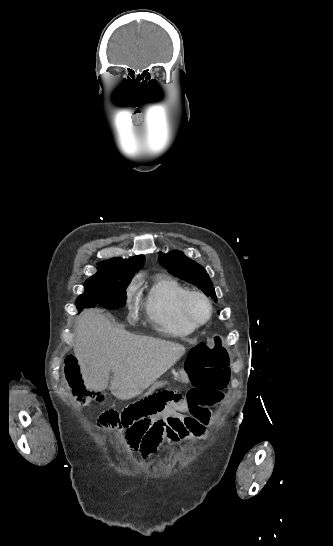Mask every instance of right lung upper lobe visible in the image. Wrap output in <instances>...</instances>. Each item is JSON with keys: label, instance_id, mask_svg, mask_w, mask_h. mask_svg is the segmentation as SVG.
<instances>
[{"label": "right lung upper lobe", "instance_id": "obj_1", "mask_svg": "<svg viewBox=\"0 0 333 546\" xmlns=\"http://www.w3.org/2000/svg\"><path fill=\"white\" fill-rule=\"evenodd\" d=\"M145 264V256L139 255L129 259L112 258L108 261H103L97 267L98 270H119L126 272H138Z\"/></svg>", "mask_w": 333, "mask_h": 546}]
</instances>
